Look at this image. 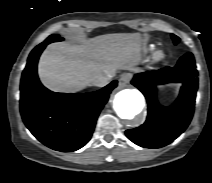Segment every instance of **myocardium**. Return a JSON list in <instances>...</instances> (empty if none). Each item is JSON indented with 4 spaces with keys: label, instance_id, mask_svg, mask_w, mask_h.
<instances>
[{
    "label": "myocardium",
    "instance_id": "f54148a6",
    "mask_svg": "<svg viewBox=\"0 0 212 183\" xmlns=\"http://www.w3.org/2000/svg\"><path fill=\"white\" fill-rule=\"evenodd\" d=\"M166 57V53L162 49H158L153 54V59L155 61H162Z\"/></svg>",
    "mask_w": 212,
    "mask_h": 183
}]
</instances>
